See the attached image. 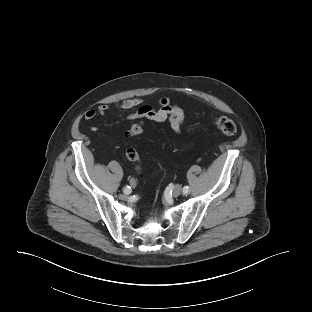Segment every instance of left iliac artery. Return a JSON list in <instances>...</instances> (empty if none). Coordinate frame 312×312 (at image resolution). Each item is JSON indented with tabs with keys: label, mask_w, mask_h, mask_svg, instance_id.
Instances as JSON below:
<instances>
[{
	"label": "left iliac artery",
	"mask_w": 312,
	"mask_h": 312,
	"mask_svg": "<svg viewBox=\"0 0 312 312\" xmlns=\"http://www.w3.org/2000/svg\"><path fill=\"white\" fill-rule=\"evenodd\" d=\"M189 192V187L188 186H185L184 188H183V193L184 194H187Z\"/></svg>",
	"instance_id": "44dca946"
}]
</instances>
